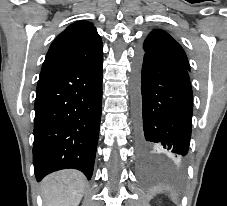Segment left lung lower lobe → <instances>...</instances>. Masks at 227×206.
Returning <instances> with one entry per match:
<instances>
[{
	"instance_id": "1",
	"label": "left lung lower lobe",
	"mask_w": 227,
	"mask_h": 206,
	"mask_svg": "<svg viewBox=\"0 0 227 206\" xmlns=\"http://www.w3.org/2000/svg\"><path fill=\"white\" fill-rule=\"evenodd\" d=\"M186 69L138 52L134 68L135 139L139 152L181 159L191 137L193 94Z\"/></svg>"
}]
</instances>
